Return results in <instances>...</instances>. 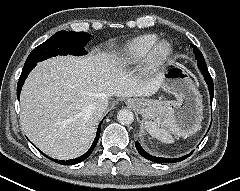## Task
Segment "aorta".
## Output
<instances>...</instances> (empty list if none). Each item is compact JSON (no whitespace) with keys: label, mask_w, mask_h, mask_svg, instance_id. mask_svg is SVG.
Returning <instances> with one entry per match:
<instances>
[{"label":"aorta","mask_w":240,"mask_h":191,"mask_svg":"<svg viewBox=\"0 0 240 191\" xmlns=\"http://www.w3.org/2000/svg\"><path fill=\"white\" fill-rule=\"evenodd\" d=\"M118 122L122 125H130L134 121V114L129 109H121L117 113Z\"/></svg>","instance_id":"aorta-1"}]
</instances>
